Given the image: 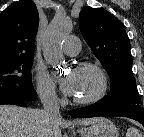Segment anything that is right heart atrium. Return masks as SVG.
I'll use <instances>...</instances> for the list:
<instances>
[{"instance_id":"right-heart-atrium-1","label":"right heart atrium","mask_w":144,"mask_h":137,"mask_svg":"<svg viewBox=\"0 0 144 137\" xmlns=\"http://www.w3.org/2000/svg\"><path fill=\"white\" fill-rule=\"evenodd\" d=\"M33 78L41 101L47 105H56L60 98L56 82L50 72L45 67L36 65L33 70Z\"/></svg>"}]
</instances>
